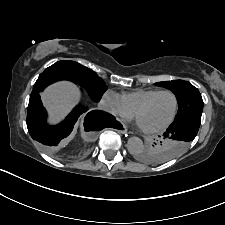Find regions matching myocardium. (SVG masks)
I'll return each mask as SVG.
<instances>
[{
	"label": "myocardium",
	"instance_id": "obj_1",
	"mask_svg": "<svg viewBox=\"0 0 225 225\" xmlns=\"http://www.w3.org/2000/svg\"><path fill=\"white\" fill-rule=\"evenodd\" d=\"M161 94H171L174 98L175 101V106H174V110L173 113L171 115V117L169 118V120L167 122H165L164 124H162L159 127L156 128H144L141 127L142 131L145 133H158V132H162L165 129H167L176 119V116L178 114V110H179V98L177 96V94L169 89L166 90H159L158 92L154 93L153 95H151L149 98H147L144 102H142L134 111V116L136 118H138V115L140 114V112L147 107L156 97H158Z\"/></svg>",
	"mask_w": 225,
	"mask_h": 225
}]
</instances>
